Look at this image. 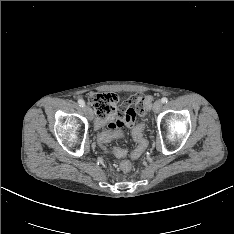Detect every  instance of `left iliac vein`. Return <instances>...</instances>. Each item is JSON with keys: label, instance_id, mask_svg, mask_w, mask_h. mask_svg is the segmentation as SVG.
<instances>
[{"label": "left iliac vein", "instance_id": "1", "mask_svg": "<svg viewBox=\"0 0 234 234\" xmlns=\"http://www.w3.org/2000/svg\"><path fill=\"white\" fill-rule=\"evenodd\" d=\"M161 109H162V102L160 100L155 101L153 104V111L155 113H158L161 111Z\"/></svg>", "mask_w": 234, "mask_h": 234}]
</instances>
